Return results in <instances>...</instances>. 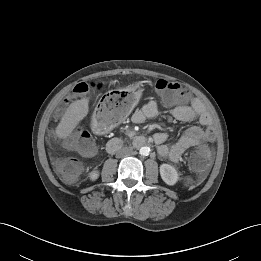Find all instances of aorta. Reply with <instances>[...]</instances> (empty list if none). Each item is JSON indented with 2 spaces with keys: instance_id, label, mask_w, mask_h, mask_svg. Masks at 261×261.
Masks as SVG:
<instances>
[{
  "instance_id": "1",
  "label": "aorta",
  "mask_w": 261,
  "mask_h": 261,
  "mask_svg": "<svg viewBox=\"0 0 261 261\" xmlns=\"http://www.w3.org/2000/svg\"><path fill=\"white\" fill-rule=\"evenodd\" d=\"M149 152H150V148L149 147H141L140 150H139V153L143 156H147L149 155Z\"/></svg>"
}]
</instances>
